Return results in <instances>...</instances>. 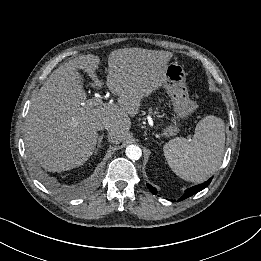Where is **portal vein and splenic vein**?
Returning <instances> with one entry per match:
<instances>
[{"label": "portal vein and splenic vein", "instance_id": "obj_1", "mask_svg": "<svg viewBox=\"0 0 261 261\" xmlns=\"http://www.w3.org/2000/svg\"><path fill=\"white\" fill-rule=\"evenodd\" d=\"M101 104H102V99L98 98V97H95V98L88 100L89 106H98V105H101Z\"/></svg>", "mask_w": 261, "mask_h": 261}]
</instances>
